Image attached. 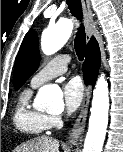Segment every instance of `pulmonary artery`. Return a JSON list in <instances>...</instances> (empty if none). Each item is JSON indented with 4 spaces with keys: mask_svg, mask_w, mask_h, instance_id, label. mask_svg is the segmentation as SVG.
I'll return each instance as SVG.
<instances>
[{
    "mask_svg": "<svg viewBox=\"0 0 123 152\" xmlns=\"http://www.w3.org/2000/svg\"><path fill=\"white\" fill-rule=\"evenodd\" d=\"M70 57L66 54L55 56L44 67H42L31 79L33 88L65 73L68 69Z\"/></svg>",
    "mask_w": 123,
    "mask_h": 152,
    "instance_id": "e3ab8cb5",
    "label": "pulmonary artery"
}]
</instances>
